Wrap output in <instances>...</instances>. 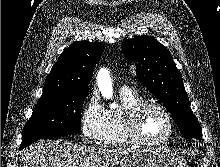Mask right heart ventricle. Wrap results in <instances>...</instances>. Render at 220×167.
Wrapping results in <instances>:
<instances>
[{"label":"right heart ventricle","instance_id":"e07e8e85","mask_svg":"<svg viewBox=\"0 0 220 167\" xmlns=\"http://www.w3.org/2000/svg\"><path fill=\"white\" fill-rule=\"evenodd\" d=\"M121 106L106 112L105 126L100 142L106 146H133L138 143L130 136L128 130V116L137 105L145 99L137 92L122 89L120 92Z\"/></svg>","mask_w":220,"mask_h":167}]
</instances>
